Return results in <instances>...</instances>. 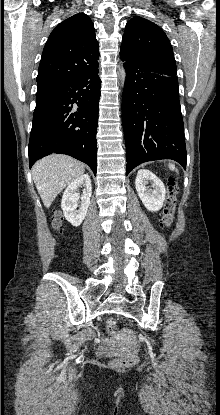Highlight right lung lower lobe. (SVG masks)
I'll return each mask as SVG.
<instances>
[{"mask_svg":"<svg viewBox=\"0 0 220 415\" xmlns=\"http://www.w3.org/2000/svg\"><path fill=\"white\" fill-rule=\"evenodd\" d=\"M98 67L62 81L36 97L29 141L30 168L51 153L70 155L96 175L101 80Z\"/></svg>","mask_w":220,"mask_h":415,"instance_id":"obj_1","label":"right lung lower lobe"}]
</instances>
